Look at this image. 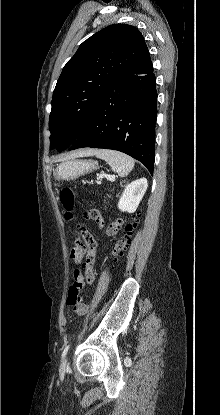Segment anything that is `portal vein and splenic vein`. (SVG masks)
Segmentation results:
<instances>
[{"mask_svg":"<svg viewBox=\"0 0 220 415\" xmlns=\"http://www.w3.org/2000/svg\"><path fill=\"white\" fill-rule=\"evenodd\" d=\"M100 178H104V177H106V178H108V179H113L114 178V176H110V175H107V174H100V176H99Z\"/></svg>","mask_w":220,"mask_h":415,"instance_id":"18ae733b","label":"portal vein and splenic vein"}]
</instances>
